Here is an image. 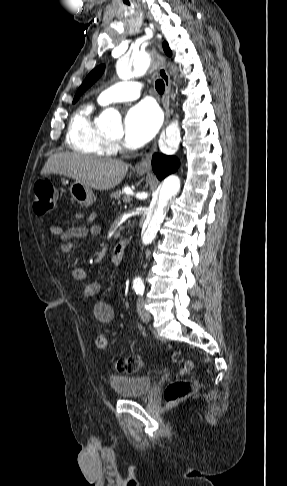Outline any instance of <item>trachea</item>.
Here are the masks:
<instances>
[{"label": "trachea", "instance_id": "trachea-1", "mask_svg": "<svg viewBox=\"0 0 287 486\" xmlns=\"http://www.w3.org/2000/svg\"><path fill=\"white\" fill-rule=\"evenodd\" d=\"M155 88L157 90L158 93L162 94L165 90V85H164V82L163 80L159 79V80H156L155 82Z\"/></svg>", "mask_w": 287, "mask_h": 486}]
</instances>
